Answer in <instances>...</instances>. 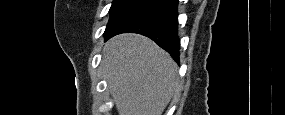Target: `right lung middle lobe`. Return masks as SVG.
Wrapping results in <instances>:
<instances>
[{
	"instance_id": "dd1d6c3e",
	"label": "right lung middle lobe",
	"mask_w": 285,
	"mask_h": 115,
	"mask_svg": "<svg viewBox=\"0 0 285 115\" xmlns=\"http://www.w3.org/2000/svg\"><path fill=\"white\" fill-rule=\"evenodd\" d=\"M154 2H156V0H114L109 10L110 19L104 36L113 31L127 18Z\"/></svg>"
}]
</instances>
